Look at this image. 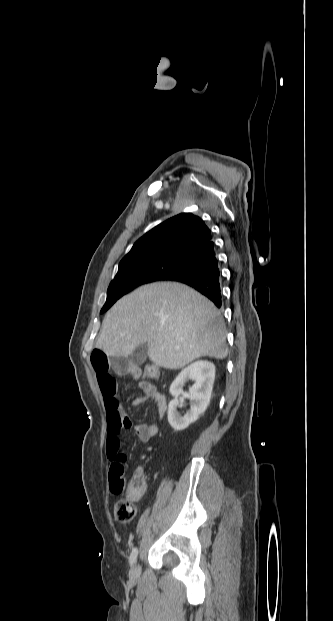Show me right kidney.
Listing matches in <instances>:
<instances>
[{
	"label": "right kidney",
	"instance_id": "obj_1",
	"mask_svg": "<svg viewBox=\"0 0 333 621\" xmlns=\"http://www.w3.org/2000/svg\"><path fill=\"white\" fill-rule=\"evenodd\" d=\"M214 379L215 366L207 360H199L190 364L176 377L170 386V393L174 399L170 401L168 407V422L175 431L186 429L206 410L210 402ZM189 380L195 381L189 389V397L193 405L182 416L176 410L180 405L179 397L184 394L183 386Z\"/></svg>",
	"mask_w": 333,
	"mask_h": 621
}]
</instances>
